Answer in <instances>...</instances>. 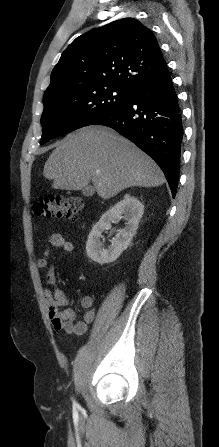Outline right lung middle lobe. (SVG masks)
Returning <instances> with one entry per match:
<instances>
[{"mask_svg":"<svg viewBox=\"0 0 219 447\" xmlns=\"http://www.w3.org/2000/svg\"><path fill=\"white\" fill-rule=\"evenodd\" d=\"M132 94L116 85H103L84 93L55 92L44 96L41 143L91 125L99 117L127 103Z\"/></svg>","mask_w":219,"mask_h":447,"instance_id":"dd1d6c3e","label":"right lung middle lobe"}]
</instances>
